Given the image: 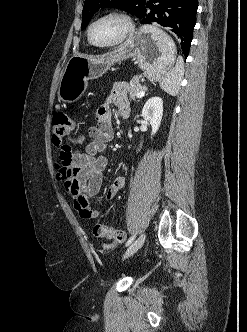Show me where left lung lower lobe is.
I'll return each mask as SVG.
<instances>
[{
  "label": "left lung lower lobe",
  "instance_id": "0a47b994",
  "mask_svg": "<svg viewBox=\"0 0 247 332\" xmlns=\"http://www.w3.org/2000/svg\"><path fill=\"white\" fill-rule=\"evenodd\" d=\"M197 8L198 0L146 1L139 19L145 24L156 22L169 28L180 40L182 51L187 57L196 23Z\"/></svg>",
  "mask_w": 247,
  "mask_h": 332
}]
</instances>
